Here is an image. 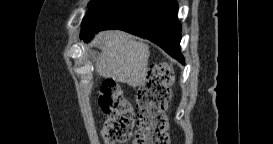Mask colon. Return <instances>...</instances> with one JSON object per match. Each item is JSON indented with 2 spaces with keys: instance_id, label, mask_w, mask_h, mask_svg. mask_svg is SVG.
<instances>
[{
  "instance_id": "colon-1",
  "label": "colon",
  "mask_w": 273,
  "mask_h": 144,
  "mask_svg": "<svg viewBox=\"0 0 273 144\" xmlns=\"http://www.w3.org/2000/svg\"><path fill=\"white\" fill-rule=\"evenodd\" d=\"M173 73L169 65L154 66L136 93L138 122L136 144H169L166 108L171 98ZM99 104L105 115L102 137L106 143H125L132 133L134 112L118 83L106 80L100 90Z\"/></svg>"
}]
</instances>
